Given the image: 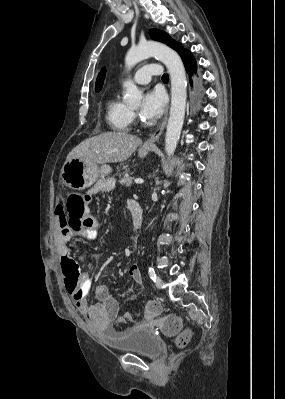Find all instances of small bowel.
Listing matches in <instances>:
<instances>
[{"instance_id":"1","label":"small bowel","mask_w":285,"mask_h":399,"mask_svg":"<svg viewBox=\"0 0 285 399\" xmlns=\"http://www.w3.org/2000/svg\"><path fill=\"white\" fill-rule=\"evenodd\" d=\"M104 187L102 185H96L89 191V195H94L102 191ZM134 205H140L134 199H128V208L129 210ZM86 211L88 216L91 219V227L88 232L84 235L86 239L93 240L96 238L97 232L100 228V222L98 219L94 218L90 214L89 205H86ZM56 213L61 216V206L56 208ZM72 236L71 230L68 228L67 225L60 224L59 228V242H60V249L59 254L60 257H70L71 251L70 249L64 247L63 243L68 241ZM129 277L130 279L137 285L142 286L143 284V276L138 268V266L133 265L129 269ZM90 277L87 273L84 274L82 280V289H81V296L79 299L75 298L74 295H70L71 298L75 301V305L83 315L84 319L94 328L102 330L110 326L118 317L119 314V303L118 301L112 296L108 286L103 282H98L95 285V295L98 299V303H89L87 301V291L90 289ZM148 320H144L139 325H144L147 323Z\"/></svg>"}]
</instances>
